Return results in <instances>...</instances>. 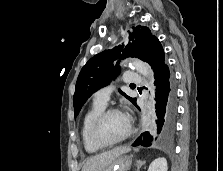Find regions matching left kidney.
Segmentation results:
<instances>
[{
    "mask_svg": "<svg viewBox=\"0 0 223 171\" xmlns=\"http://www.w3.org/2000/svg\"><path fill=\"white\" fill-rule=\"evenodd\" d=\"M167 160L163 157L155 159L149 166L148 171H167Z\"/></svg>",
    "mask_w": 223,
    "mask_h": 171,
    "instance_id": "5707ae66",
    "label": "left kidney"
}]
</instances>
